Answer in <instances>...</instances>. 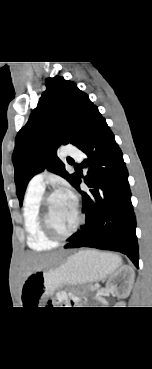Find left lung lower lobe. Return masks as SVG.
Wrapping results in <instances>:
<instances>
[{"label":"left lung lower lobe","mask_w":152,"mask_h":369,"mask_svg":"<svg viewBox=\"0 0 152 369\" xmlns=\"http://www.w3.org/2000/svg\"><path fill=\"white\" fill-rule=\"evenodd\" d=\"M86 154L82 165L88 167L84 182L88 192L80 190V178L73 185L82 195L85 225L64 248L93 247L118 251L139 267L136 217L131 204L128 171L114 135L98 109L76 145Z\"/></svg>","instance_id":"obj_1"}]
</instances>
